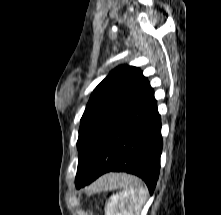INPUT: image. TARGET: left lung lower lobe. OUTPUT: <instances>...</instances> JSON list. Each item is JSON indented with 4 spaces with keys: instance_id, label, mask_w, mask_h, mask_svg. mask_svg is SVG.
<instances>
[{
    "instance_id": "left-lung-lower-lobe-1",
    "label": "left lung lower lobe",
    "mask_w": 221,
    "mask_h": 215,
    "mask_svg": "<svg viewBox=\"0 0 221 215\" xmlns=\"http://www.w3.org/2000/svg\"><path fill=\"white\" fill-rule=\"evenodd\" d=\"M161 118L153 88L148 83L140 96L115 119L81 188L110 171L142 178L153 193L160 171Z\"/></svg>"
}]
</instances>
